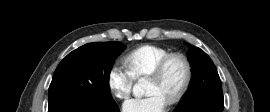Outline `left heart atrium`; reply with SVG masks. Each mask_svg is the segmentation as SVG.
<instances>
[{"instance_id": "39dd6f15", "label": "left heart atrium", "mask_w": 270, "mask_h": 112, "mask_svg": "<svg viewBox=\"0 0 270 112\" xmlns=\"http://www.w3.org/2000/svg\"><path fill=\"white\" fill-rule=\"evenodd\" d=\"M167 102L157 93L132 98L123 104V112H164Z\"/></svg>"}]
</instances>
